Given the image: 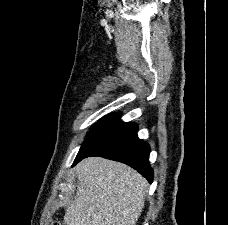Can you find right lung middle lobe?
Returning <instances> with one entry per match:
<instances>
[{"instance_id":"right-lung-middle-lobe-1","label":"right lung middle lobe","mask_w":228,"mask_h":225,"mask_svg":"<svg viewBox=\"0 0 228 225\" xmlns=\"http://www.w3.org/2000/svg\"><path fill=\"white\" fill-rule=\"evenodd\" d=\"M114 116V114H111L109 116H106L104 118H102L99 122H97L95 125H93V127L91 128V130H95L97 129L100 125H102L104 122H106L107 120H109L110 118H112ZM93 131L89 132L88 135H90Z\"/></svg>"}]
</instances>
